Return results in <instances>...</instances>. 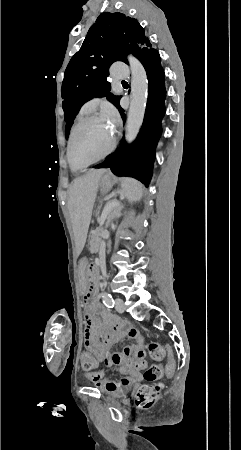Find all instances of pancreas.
Here are the masks:
<instances>
[{"mask_svg": "<svg viewBox=\"0 0 241 450\" xmlns=\"http://www.w3.org/2000/svg\"><path fill=\"white\" fill-rule=\"evenodd\" d=\"M111 218H113V214H110V216H108L107 222H106L107 226H108ZM101 232H102V227H95V232H94L93 236L90 238V241H91L90 248L93 251L96 250L99 243H101L103 241V238L101 237L102 236Z\"/></svg>", "mask_w": 241, "mask_h": 450, "instance_id": "obj_1", "label": "pancreas"}]
</instances>
